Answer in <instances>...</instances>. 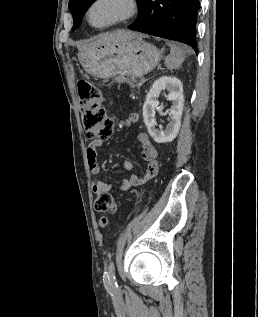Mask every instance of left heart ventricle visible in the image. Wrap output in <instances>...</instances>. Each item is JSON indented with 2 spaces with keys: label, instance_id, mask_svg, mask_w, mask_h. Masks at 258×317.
<instances>
[{
  "label": "left heart ventricle",
  "instance_id": "left-heart-ventricle-1",
  "mask_svg": "<svg viewBox=\"0 0 258 317\" xmlns=\"http://www.w3.org/2000/svg\"><path fill=\"white\" fill-rule=\"evenodd\" d=\"M125 8L121 4L112 1H100L92 9L91 17L96 23L110 22L124 12Z\"/></svg>",
  "mask_w": 258,
  "mask_h": 317
}]
</instances>
